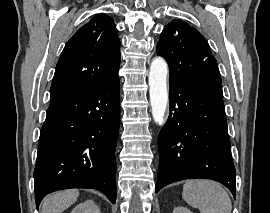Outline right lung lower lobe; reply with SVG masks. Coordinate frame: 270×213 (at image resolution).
<instances>
[{
  "instance_id": "1",
  "label": "right lung lower lobe",
  "mask_w": 270,
  "mask_h": 213,
  "mask_svg": "<svg viewBox=\"0 0 270 213\" xmlns=\"http://www.w3.org/2000/svg\"><path fill=\"white\" fill-rule=\"evenodd\" d=\"M119 118V77L50 100L34 170L37 208L45 195L68 188L98 189L115 203Z\"/></svg>"
}]
</instances>
